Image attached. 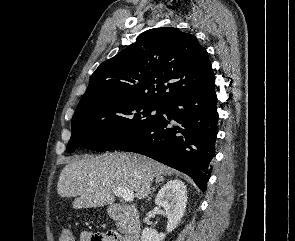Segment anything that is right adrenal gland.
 Returning <instances> with one entry per match:
<instances>
[{"instance_id":"right-adrenal-gland-1","label":"right adrenal gland","mask_w":295,"mask_h":241,"mask_svg":"<svg viewBox=\"0 0 295 241\" xmlns=\"http://www.w3.org/2000/svg\"><path fill=\"white\" fill-rule=\"evenodd\" d=\"M164 181L163 176H158L155 180L156 185L159 184L160 182ZM155 191V187H152V192H150V196L148 197L147 200H150L152 193Z\"/></svg>"}]
</instances>
